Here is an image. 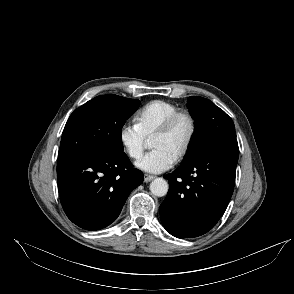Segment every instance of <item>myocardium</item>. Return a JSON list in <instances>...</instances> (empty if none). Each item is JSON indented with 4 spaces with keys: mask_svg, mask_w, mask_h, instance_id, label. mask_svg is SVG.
Listing matches in <instances>:
<instances>
[{
    "mask_svg": "<svg viewBox=\"0 0 294 294\" xmlns=\"http://www.w3.org/2000/svg\"><path fill=\"white\" fill-rule=\"evenodd\" d=\"M185 118L189 123V133L187 140L176 156L177 160L183 159L191 150L197 132V123L195 117L188 111L178 110L171 114L154 132L152 138L167 134L177 123L178 120Z\"/></svg>",
    "mask_w": 294,
    "mask_h": 294,
    "instance_id": "myocardium-1",
    "label": "myocardium"
}]
</instances>
